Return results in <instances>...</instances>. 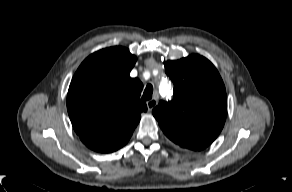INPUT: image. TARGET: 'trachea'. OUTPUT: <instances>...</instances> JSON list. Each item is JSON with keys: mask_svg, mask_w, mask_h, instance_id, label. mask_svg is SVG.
<instances>
[{"mask_svg": "<svg viewBox=\"0 0 292 192\" xmlns=\"http://www.w3.org/2000/svg\"><path fill=\"white\" fill-rule=\"evenodd\" d=\"M152 94H153V86L151 84H148L144 90L142 99L150 100L152 98Z\"/></svg>", "mask_w": 292, "mask_h": 192, "instance_id": "1", "label": "trachea"}]
</instances>
